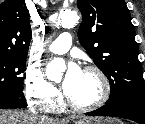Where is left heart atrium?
<instances>
[{
    "mask_svg": "<svg viewBox=\"0 0 145 124\" xmlns=\"http://www.w3.org/2000/svg\"><path fill=\"white\" fill-rule=\"evenodd\" d=\"M81 72L82 71L79 69V67L76 64L71 63L69 65L67 73L62 83V87L66 95L71 92L73 85L81 75Z\"/></svg>",
    "mask_w": 145,
    "mask_h": 124,
    "instance_id": "left-heart-atrium-1",
    "label": "left heart atrium"
}]
</instances>
